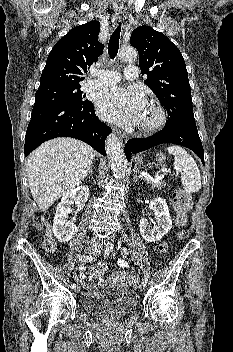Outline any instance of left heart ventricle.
Returning a JSON list of instances; mask_svg holds the SVG:
<instances>
[{
    "label": "left heart ventricle",
    "instance_id": "b2bd125f",
    "mask_svg": "<svg viewBox=\"0 0 233 352\" xmlns=\"http://www.w3.org/2000/svg\"><path fill=\"white\" fill-rule=\"evenodd\" d=\"M153 117L152 111L146 106L141 117L142 120H150Z\"/></svg>",
    "mask_w": 233,
    "mask_h": 352
}]
</instances>
